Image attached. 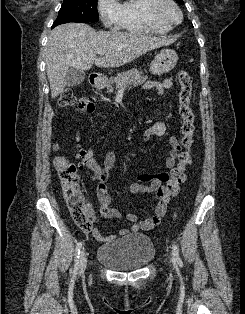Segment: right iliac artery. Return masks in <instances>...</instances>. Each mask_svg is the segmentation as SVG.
<instances>
[{"instance_id": "obj_1", "label": "right iliac artery", "mask_w": 245, "mask_h": 314, "mask_svg": "<svg viewBox=\"0 0 245 314\" xmlns=\"http://www.w3.org/2000/svg\"><path fill=\"white\" fill-rule=\"evenodd\" d=\"M82 248V242L77 243L76 249H75V260H74V275L77 274V270L79 267V257H80V250Z\"/></svg>"}]
</instances>
